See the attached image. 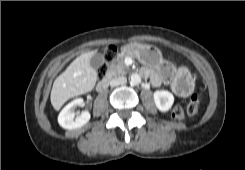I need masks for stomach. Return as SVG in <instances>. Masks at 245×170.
<instances>
[{
    "label": "stomach",
    "mask_w": 245,
    "mask_h": 170,
    "mask_svg": "<svg viewBox=\"0 0 245 170\" xmlns=\"http://www.w3.org/2000/svg\"><path fill=\"white\" fill-rule=\"evenodd\" d=\"M124 51H127L139 62L148 67L159 68L163 64L161 52L150 45L132 43L124 47ZM177 80H182L188 85V92L193 89L194 83L187 71L182 70V73L178 76Z\"/></svg>",
    "instance_id": "stomach-1"
}]
</instances>
